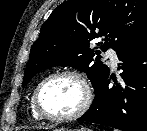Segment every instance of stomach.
Here are the masks:
<instances>
[{
    "instance_id": "obj_1",
    "label": "stomach",
    "mask_w": 147,
    "mask_h": 131,
    "mask_svg": "<svg viewBox=\"0 0 147 131\" xmlns=\"http://www.w3.org/2000/svg\"><path fill=\"white\" fill-rule=\"evenodd\" d=\"M54 131H91L89 129H86V128H82V129H67V128H59V129H56Z\"/></svg>"
}]
</instances>
